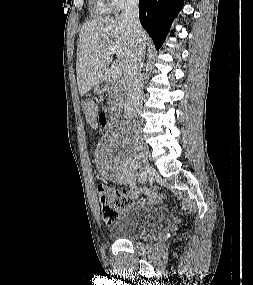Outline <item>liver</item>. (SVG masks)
<instances>
[{"label":"liver","mask_w":253,"mask_h":285,"mask_svg":"<svg viewBox=\"0 0 253 285\" xmlns=\"http://www.w3.org/2000/svg\"><path fill=\"white\" fill-rule=\"evenodd\" d=\"M146 44L147 34L141 32ZM132 32L122 15L92 20L83 24L77 45V84L79 94L85 95L108 72L112 60L111 47L116 49L117 61L124 69L132 48Z\"/></svg>","instance_id":"6515ba94"}]
</instances>
